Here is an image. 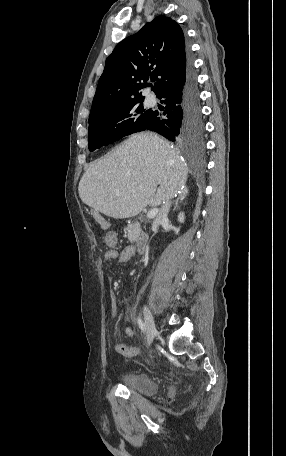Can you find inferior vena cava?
I'll return each instance as SVG.
<instances>
[{"mask_svg":"<svg viewBox=\"0 0 286 456\" xmlns=\"http://www.w3.org/2000/svg\"><path fill=\"white\" fill-rule=\"evenodd\" d=\"M171 199L172 198L166 199L165 203L161 206V209H160L158 215L156 216V218L153 221L152 231H154V232L157 231L158 226L167 220V216H168L169 209L171 206Z\"/></svg>","mask_w":286,"mask_h":456,"instance_id":"obj_1","label":"inferior vena cava"}]
</instances>
